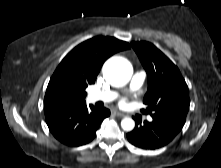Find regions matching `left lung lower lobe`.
Returning a JSON list of instances; mask_svg holds the SVG:
<instances>
[{
  "label": "left lung lower lobe",
  "instance_id": "0a47b994",
  "mask_svg": "<svg viewBox=\"0 0 221 168\" xmlns=\"http://www.w3.org/2000/svg\"><path fill=\"white\" fill-rule=\"evenodd\" d=\"M136 126L127 134L131 144L142 149H157L168 144L182 127L167 120L155 119L143 124L135 118Z\"/></svg>",
  "mask_w": 221,
  "mask_h": 168
}]
</instances>
